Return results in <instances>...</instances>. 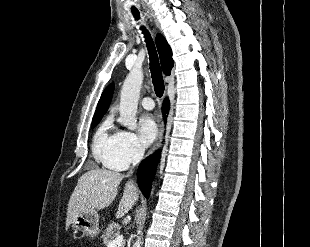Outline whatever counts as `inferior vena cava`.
Listing matches in <instances>:
<instances>
[{"label": "inferior vena cava", "mask_w": 310, "mask_h": 247, "mask_svg": "<svg viewBox=\"0 0 310 247\" xmlns=\"http://www.w3.org/2000/svg\"><path fill=\"white\" fill-rule=\"evenodd\" d=\"M144 156V149L141 146H137L134 150L133 157H132V164L135 166L138 164Z\"/></svg>", "instance_id": "1"}]
</instances>
